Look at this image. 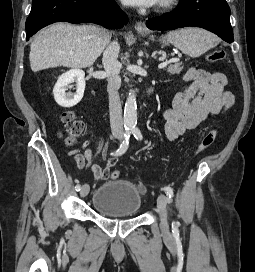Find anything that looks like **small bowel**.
<instances>
[{"mask_svg": "<svg viewBox=\"0 0 255 272\" xmlns=\"http://www.w3.org/2000/svg\"><path fill=\"white\" fill-rule=\"evenodd\" d=\"M183 80L189 82V86L174 96L172 106L162 111L164 133L169 141L201 128L210 117L223 113L234 104V95L227 87L228 79L224 73L191 67L183 75ZM73 159L79 168H83L86 162H92V151L88 148L83 153L75 151ZM115 162L116 158L110 156L105 167L91 164L94 178H111V167Z\"/></svg>", "mask_w": 255, "mask_h": 272, "instance_id": "obj_1", "label": "small bowel"}]
</instances>
